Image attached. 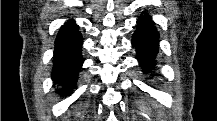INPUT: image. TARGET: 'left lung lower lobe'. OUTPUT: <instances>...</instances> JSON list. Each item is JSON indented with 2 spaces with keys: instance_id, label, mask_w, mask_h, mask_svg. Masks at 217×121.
<instances>
[{
  "instance_id": "obj_1",
  "label": "left lung lower lobe",
  "mask_w": 217,
  "mask_h": 121,
  "mask_svg": "<svg viewBox=\"0 0 217 121\" xmlns=\"http://www.w3.org/2000/svg\"><path fill=\"white\" fill-rule=\"evenodd\" d=\"M137 23V30L132 37V46L136 49L137 60L143 72L147 73L152 71L156 64L155 59L159 49V33L147 13L141 15Z\"/></svg>"
}]
</instances>
